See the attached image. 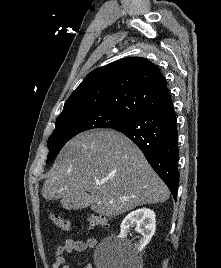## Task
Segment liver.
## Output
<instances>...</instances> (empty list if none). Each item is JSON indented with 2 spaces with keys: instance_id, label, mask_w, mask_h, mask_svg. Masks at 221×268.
<instances>
[{
  "instance_id": "1",
  "label": "liver",
  "mask_w": 221,
  "mask_h": 268,
  "mask_svg": "<svg viewBox=\"0 0 221 268\" xmlns=\"http://www.w3.org/2000/svg\"><path fill=\"white\" fill-rule=\"evenodd\" d=\"M169 195L140 149L114 130H92L71 139L42 187L46 200L60 199L66 209L69 204H86L107 217L162 203Z\"/></svg>"
}]
</instances>
